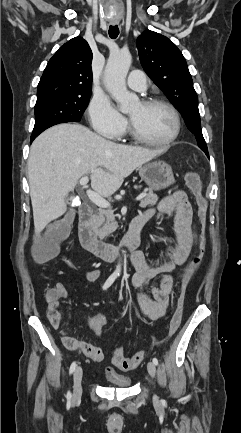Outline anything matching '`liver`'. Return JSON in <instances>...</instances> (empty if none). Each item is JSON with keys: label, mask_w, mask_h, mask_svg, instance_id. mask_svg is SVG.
Returning <instances> with one entry per match:
<instances>
[{"label": "liver", "mask_w": 241, "mask_h": 433, "mask_svg": "<svg viewBox=\"0 0 241 433\" xmlns=\"http://www.w3.org/2000/svg\"><path fill=\"white\" fill-rule=\"evenodd\" d=\"M162 153L108 141L80 124H59L40 134L28 158L34 228L39 235L66 212L65 197L90 176L99 195H113L137 167Z\"/></svg>", "instance_id": "obj_1"}]
</instances>
